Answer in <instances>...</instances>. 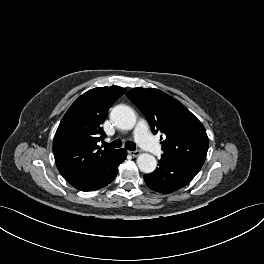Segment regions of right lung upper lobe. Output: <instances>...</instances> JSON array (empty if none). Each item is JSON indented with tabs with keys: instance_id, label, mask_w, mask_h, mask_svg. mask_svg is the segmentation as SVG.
<instances>
[{
	"instance_id": "1",
	"label": "right lung upper lobe",
	"mask_w": 264,
	"mask_h": 264,
	"mask_svg": "<svg viewBox=\"0 0 264 264\" xmlns=\"http://www.w3.org/2000/svg\"><path fill=\"white\" fill-rule=\"evenodd\" d=\"M126 90L97 87L81 95L71 105L56 131L53 153L59 172L68 179L100 162L115 149H101L102 129L109 108Z\"/></svg>"
}]
</instances>
